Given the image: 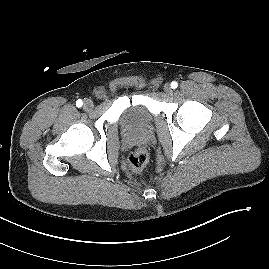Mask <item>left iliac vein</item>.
<instances>
[{
	"label": "left iliac vein",
	"mask_w": 269,
	"mask_h": 269,
	"mask_svg": "<svg viewBox=\"0 0 269 269\" xmlns=\"http://www.w3.org/2000/svg\"><path fill=\"white\" fill-rule=\"evenodd\" d=\"M164 92L167 95H171L172 94L173 90H172L170 84L167 83V84L164 85Z\"/></svg>",
	"instance_id": "left-iliac-vein-1"
}]
</instances>
